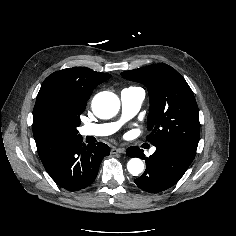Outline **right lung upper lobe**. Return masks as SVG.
Wrapping results in <instances>:
<instances>
[{
    "label": "right lung upper lobe",
    "instance_id": "right-lung-upper-lobe-1",
    "mask_svg": "<svg viewBox=\"0 0 236 236\" xmlns=\"http://www.w3.org/2000/svg\"><path fill=\"white\" fill-rule=\"evenodd\" d=\"M111 77L85 67L56 71L41 85L33 110V120L45 105H54L69 112H83L93 90Z\"/></svg>",
    "mask_w": 236,
    "mask_h": 236
}]
</instances>
